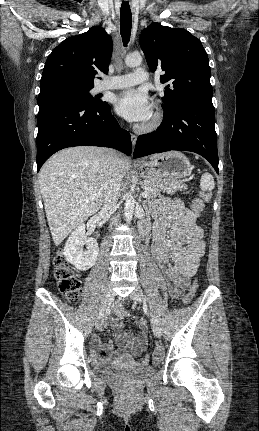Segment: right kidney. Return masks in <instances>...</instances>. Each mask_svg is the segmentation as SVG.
Masks as SVG:
<instances>
[{"label": "right kidney", "mask_w": 259, "mask_h": 431, "mask_svg": "<svg viewBox=\"0 0 259 431\" xmlns=\"http://www.w3.org/2000/svg\"><path fill=\"white\" fill-rule=\"evenodd\" d=\"M85 233V224L78 225L69 236L63 250L66 260L80 271L91 268L99 254L97 241L87 237ZM83 246H86L85 251Z\"/></svg>", "instance_id": "1"}]
</instances>
